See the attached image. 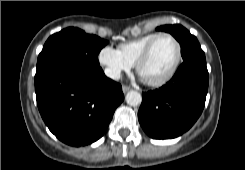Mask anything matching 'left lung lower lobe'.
I'll return each instance as SVG.
<instances>
[{
	"instance_id": "1",
	"label": "left lung lower lobe",
	"mask_w": 245,
	"mask_h": 170,
	"mask_svg": "<svg viewBox=\"0 0 245 170\" xmlns=\"http://www.w3.org/2000/svg\"><path fill=\"white\" fill-rule=\"evenodd\" d=\"M207 90L206 63L183 62L166 85L142 94L138 119L143 130L154 139L182 135L201 115Z\"/></svg>"
}]
</instances>
